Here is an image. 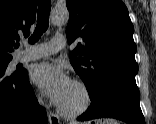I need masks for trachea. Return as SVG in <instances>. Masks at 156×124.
<instances>
[{
  "instance_id": "obj_1",
  "label": "trachea",
  "mask_w": 156,
  "mask_h": 124,
  "mask_svg": "<svg viewBox=\"0 0 156 124\" xmlns=\"http://www.w3.org/2000/svg\"><path fill=\"white\" fill-rule=\"evenodd\" d=\"M51 11V1L42 0L38 7L37 25L33 35L29 38V43L34 44L41 35L48 29L49 15Z\"/></svg>"
}]
</instances>
